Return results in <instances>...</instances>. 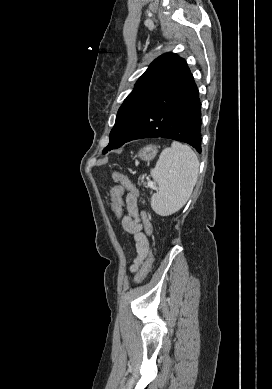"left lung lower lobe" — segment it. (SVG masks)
Returning a JSON list of instances; mask_svg holds the SVG:
<instances>
[{
    "label": "left lung lower lobe",
    "instance_id": "1",
    "mask_svg": "<svg viewBox=\"0 0 272 389\" xmlns=\"http://www.w3.org/2000/svg\"><path fill=\"white\" fill-rule=\"evenodd\" d=\"M201 102L188 67L150 101L126 142L161 137L185 142L201 153Z\"/></svg>",
    "mask_w": 272,
    "mask_h": 389
}]
</instances>
